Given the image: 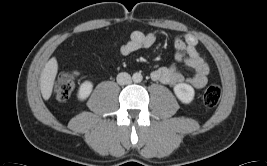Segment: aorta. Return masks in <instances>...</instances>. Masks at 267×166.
Listing matches in <instances>:
<instances>
[{
	"label": "aorta",
	"mask_w": 267,
	"mask_h": 166,
	"mask_svg": "<svg viewBox=\"0 0 267 166\" xmlns=\"http://www.w3.org/2000/svg\"><path fill=\"white\" fill-rule=\"evenodd\" d=\"M142 79H143L142 74H141V73H138V72L134 73L133 76H132V80H133L135 83H139V82H141Z\"/></svg>",
	"instance_id": "aorta-1"
}]
</instances>
